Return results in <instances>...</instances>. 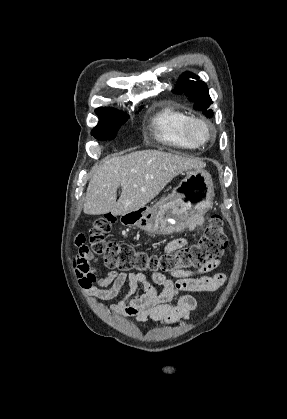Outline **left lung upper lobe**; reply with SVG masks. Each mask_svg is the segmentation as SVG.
<instances>
[{
    "instance_id": "1",
    "label": "left lung upper lobe",
    "mask_w": 287,
    "mask_h": 419,
    "mask_svg": "<svg viewBox=\"0 0 287 419\" xmlns=\"http://www.w3.org/2000/svg\"><path fill=\"white\" fill-rule=\"evenodd\" d=\"M189 78L199 79L198 76L186 72L181 75L173 92L176 94L185 93L194 102L195 109L202 111L208 118H212L214 112L209 109L212 100L209 96L206 83L201 80L192 81Z\"/></svg>"
}]
</instances>
